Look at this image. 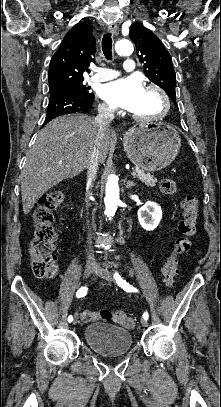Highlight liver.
<instances>
[{
    "mask_svg": "<svg viewBox=\"0 0 221 407\" xmlns=\"http://www.w3.org/2000/svg\"><path fill=\"white\" fill-rule=\"evenodd\" d=\"M96 136L95 118L80 113L56 118L38 133L21 172L25 215L49 189L87 168ZM115 142V134L108 129L101 143L100 163Z\"/></svg>",
    "mask_w": 221,
    "mask_h": 407,
    "instance_id": "1",
    "label": "liver"
}]
</instances>
